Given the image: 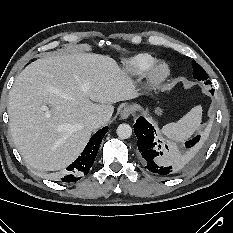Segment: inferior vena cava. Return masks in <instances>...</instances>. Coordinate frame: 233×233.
Here are the masks:
<instances>
[{"label": "inferior vena cava", "instance_id": "inferior-vena-cava-1", "mask_svg": "<svg viewBox=\"0 0 233 233\" xmlns=\"http://www.w3.org/2000/svg\"><path fill=\"white\" fill-rule=\"evenodd\" d=\"M106 124V119L100 115L93 114L86 118L85 126L90 130H95Z\"/></svg>", "mask_w": 233, "mask_h": 233}]
</instances>
